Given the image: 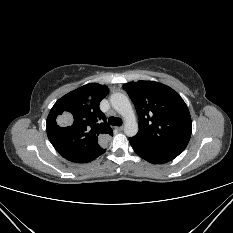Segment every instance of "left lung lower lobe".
Returning <instances> with one entry per match:
<instances>
[{
    "mask_svg": "<svg viewBox=\"0 0 233 233\" xmlns=\"http://www.w3.org/2000/svg\"><path fill=\"white\" fill-rule=\"evenodd\" d=\"M129 142L134 149V151L143 159L150 163L154 164H162L173 160L176 156L168 155L165 153H161L158 151L151 150L149 148L144 147L143 145L129 139Z\"/></svg>",
    "mask_w": 233,
    "mask_h": 233,
    "instance_id": "obj_1",
    "label": "left lung lower lobe"
}]
</instances>
